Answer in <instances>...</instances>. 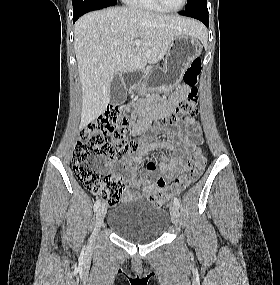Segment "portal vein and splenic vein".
Instances as JSON below:
<instances>
[{
  "instance_id": "1",
  "label": "portal vein and splenic vein",
  "mask_w": 280,
  "mask_h": 285,
  "mask_svg": "<svg viewBox=\"0 0 280 285\" xmlns=\"http://www.w3.org/2000/svg\"><path fill=\"white\" fill-rule=\"evenodd\" d=\"M135 45H136V48H139L141 45L140 40H135Z\"/></svg>"
}]
</instances>
